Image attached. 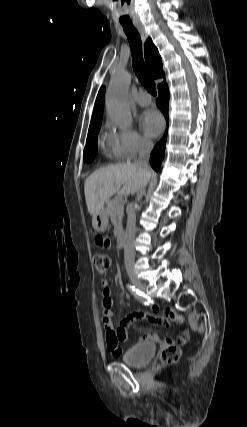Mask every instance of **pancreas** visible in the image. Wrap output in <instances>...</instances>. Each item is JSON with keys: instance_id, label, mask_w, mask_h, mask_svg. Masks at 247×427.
<instances>
[{"instance_id": "obj_1", "label": "pancreas", "mask_w": 247, "mask_h": 427, "mask_svg": "<svg viewBox=\"0 0 247 427\" xmlns=\"http://www.w3.org/2000/svg\"><path fill=\"white\" fill-rule=\"evenodd\" d=\"M106 214L111 220L117 223V228H122V218L124 216V205L122 201H116L115 199L107 202Z\"/></svg>"}]
</instances>
